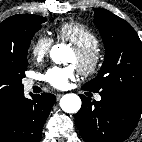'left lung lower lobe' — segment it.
<instances>
[{"label": "left lung lower lobe", "mask_w": 142, "mask_h": 142, "mask_svg": "<svg viewBox=\"0 0 142 142\" xmlns=\"http://www.w3.org/2000/svg\"><path fill=\"white\" fill-rule=\"evenodd\" d=\"M82 107L76 114V124L85 142H122L135 129L142 106L102 97L91 102L80 95Z\"/></svg>", "instance_id": "left-lung-lower-lobe-1"}]
</instances>
